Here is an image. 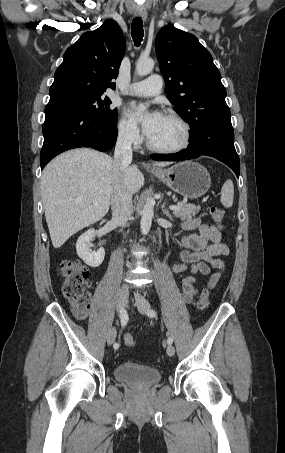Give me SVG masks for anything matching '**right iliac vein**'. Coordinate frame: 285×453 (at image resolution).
I'll list each match as a JSON object with an SVG mask.
<instances>
[{
  "mask_svg": "<svg viewBox=\"0 0 285 453\" xmlns=\"http://www.w3.org/2000/svg\"><path fill=\"white\" fill-rule=\"evenodd\" d=\"M128 297H129V287L128 285L124 284L122 285V287L120 288L119 290V294H118V310H120L121 308H124L127 304V301H128ZM116 329L113 327L109 330L108 332V335H107V344L108 345H112L116 339Z\"/></svg>",
  "mask_w": 285,
  "mask_h": 453,
  "instance_id": "obj_1",
  "label": "right iliac vein"
}]
</instances>
